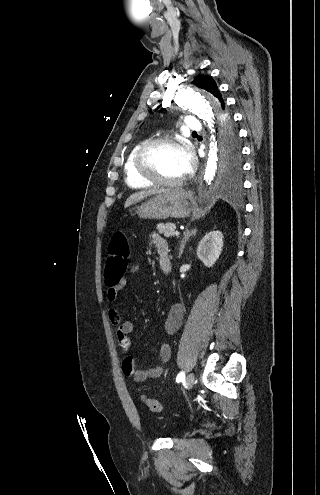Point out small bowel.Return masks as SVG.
Listing matches in <instances>:
<instances>
[{
    "label": "small bowel",
    "mask_w": 320,
    "mask_h": 495,
    "mask_svg": "<svg viewBox=\"0 0 320 495\" xmlns=\"http://www.w3.org/2000/svg\"><path fill=\"white\" fill-rule=\"evenodd\" d=\"M153 240L157 247V250L160 252L168 248L165 240L160 237L158 234H153ZM139 270L138 266H133L131 271L133 273H137ZM125 286V280L122 278L116 284H109V289L107 291V298L109 302H114L117 298L118 292ZM108 318L113 326L116 328L118 344L120 346L121 351L126 354L123 359L122 366L124 373L131 377L136 382H143L148 379H156L159 378L163 371V365H158L155 367H151L149 369H139L136 366L134 359L128 355L133 346L131 333L134 330V325L131 321H123L121 316L116 308L111 307L108 309ZM184 319V308L181 304H174L170 308L168 315L163 324V332L166 335L174 334L182 325ZM171 356V347L167 343H161L159 347V357L161 362L164 364L168 362Z\"/></svg>",
    "instance_id": "1"
}]
</instances>
